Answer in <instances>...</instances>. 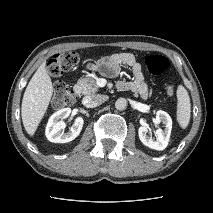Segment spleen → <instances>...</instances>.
<instances>
[{
	"mask_svg": "<svg viewBox=\"0 0 213 213\" xmlns=\"http://www.w3.org/2000/svg\"><path fill=\"white\" fill-rule=\"evenodd\" d=\"M177 100V121L182 129H186L190 121L191 104L188 92L182 85L178 86Z\"/></svg>",
	"mask_w": 213,
	"mask_h": 213,
	"instance_id": "1",
	"label": "spleen"
}]
</instances>
